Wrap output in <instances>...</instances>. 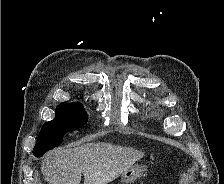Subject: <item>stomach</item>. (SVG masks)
I'll return each mask as SVG.
<instances>
[{
    "instance_id": "obj_1",
    "label": "stomach",
    "mask_w": 224,
    "mask_h": 184,
    "mask_svg": "<svg viewBox=\"0 0 224 184\" xmlns=\"http://www.w3.org/2000/svg\"><path fill=\"white\" fill-rule=\"evenodd\" d=\"M144 171V166L134 165L121 174V181L124 184H131L132 182L139 179L143 175Z\"/></svg>"
}]
</instances>
